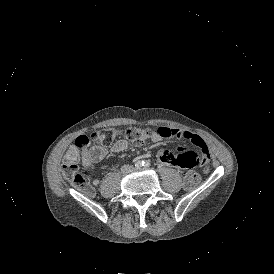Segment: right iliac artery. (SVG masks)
Listing matches in <instances>:
<instances>
[{
	"label": "right iliac artery",
	"mask_w": 274,
	"mask_h": 274,
	"mask_svg": "<svg viewBox=\"0 0 274 274\" xmlns=\"http://www.w3.org/2000/svg\"><path fill=\"white\" fill-rule=\"evenodd\" d=\"M143 164H144V161L139 160L135 163V167L140 168L143 166Z\"/></svg>",
	"instance_id": "right-iliac-artery-1"
}]
</instances>
